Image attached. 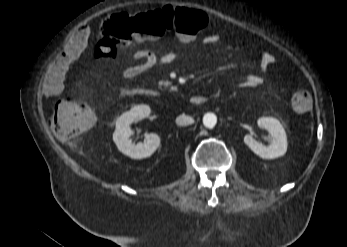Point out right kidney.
Masks as SVG:
<instances>
[{
	"label": "right kidney",
	"instance_id": "ca27d5eb",
	"mask_svg": "<svg viewBox=\"0 0 347 247\" xmlns=\"http://www.w3.org/2000/svg\"><path fill=\"white\" fill-rule=\"evenodd\" d=\"M150 113L151 109L149 106L139 105L117 118L113 141L123 154L133 159H143L150 157L159 147L160 138L157 134H148L143 142L137 144L130 139L132 135L130 125L149 116Z\"/></svg>",
	"mask_w": 347,
	"mask_h": 247
}]
</instances>
